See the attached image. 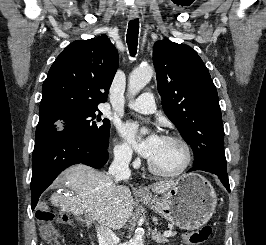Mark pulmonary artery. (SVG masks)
I'll use <instances>...</instances> for the list:
<instances>
[{"label": "pulmonary artery", "instance_id": "1", "mask_svg": "<svg viewBox=\"0 0 266 245\" xmlns=\"http://www.w3.org/2000/svg\"><path fill=\"white\" fill-rule=\"evenodd\" d=\"M146 95V96H145ZM151 91H146L142 96H135V100L129 101L127 107L144 114H152L156 111L154 96H151Z\"/></svg>", "mask_w": 266, "mask_h": 245}]
</instances>
